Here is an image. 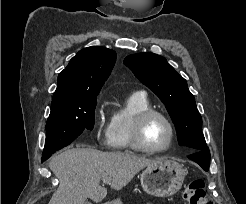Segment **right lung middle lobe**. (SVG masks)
I'll return each instance as SVG.
<instances>
[{"mask_svg": "<svg viewBox=\"0 0 246 204\" xmlns=\"http://www.w3.org/2000/svg\"><path fill=\"white\" fill-rule=\"evenodd\" d=\"M97 95L52 101L42 158L69 145L85 128L93 129Z\"/></svg>", "mask_w": 246, "mask_h": 204, "instance_id": "1", "label": "right lung middle lobe"}]
</instances>
